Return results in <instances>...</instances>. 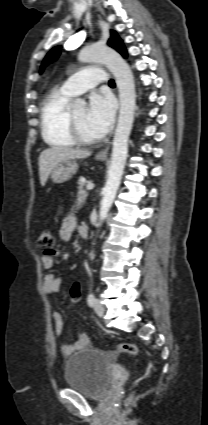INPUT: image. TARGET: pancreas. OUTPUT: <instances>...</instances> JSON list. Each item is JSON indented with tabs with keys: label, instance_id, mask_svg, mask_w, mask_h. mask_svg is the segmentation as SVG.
Wrapping results in <instances>:
<instances>
[{
	"label": "pancreas",
	"instance_id": "1",
	"mask_svg": "<svg viewBox=\"0 0 208 425\" xmlns=\"http://www.w3.org/2000/svg\"><path fill=\"white\" fill-rule=\"evenodd\" d=\"M87 183H88V181L82 180V179H80L78 181L79 187H78V192H77V198H76V201H75L76 206H81L87 198V191L84 188V186Z\"/></svg>",
	"mask_w": 208,
	"mask_h": 425
}]
</instances>
